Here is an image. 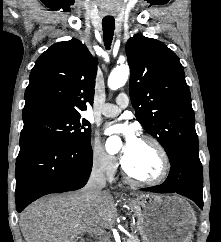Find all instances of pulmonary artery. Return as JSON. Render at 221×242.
<instances>
[{"mask_svg":"<svg viewBox=\"0 0 221 242\" xmlns=\"http://www.w3.org/2000/svg\"><path fill=\"white\" fill-rule=\"evenodd\" d=\"M129 104V97L126 93H120L116 97V103H106L101 109L100 113L106 117H114L117 116L120 111L126 108Z\"/></svg>","mask_w":221,"mask_h":242,"instance_id":"obj_1","label":"pulmonary artery"}]
</instances>
